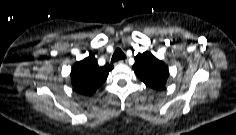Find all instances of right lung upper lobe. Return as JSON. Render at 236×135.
Masks as SVG:
<instances>
[{"instance_id":"1","label":"right lung upper lobe","mask_w":236,"mask_h":135,"mask_svg":"<svg viewBox=\"0 0 236 135\" xmlns=\"http://www.w3.org/2000/svg\"><path fill=\"white\" fill-rule=\"evenodd\" d=\"M112 65L99 66L92 55L76 62L72 67L71 81L74 91L92 95L106 80Z\"/></svg>"}]
</instances>
